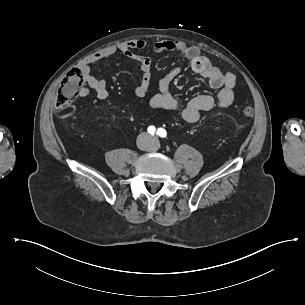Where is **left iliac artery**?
Masks as SVG:
<instances>
[{"label": "left iliac artery", "mask_w": 305, "mask_h": 305, "mask_svg": "<svg viewBox=\"0 0 305 305\" xmlns=\"http://www.w3.org/2000/svg\"><path fill=\"white\" fill-rule=\"evenodd\" d=\"M157 134L162 138L166 137V135H167L165 129H163V128H159L157 131Z\"/></svg>", "instance_id": "obj_1"}]
</instances>
